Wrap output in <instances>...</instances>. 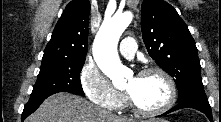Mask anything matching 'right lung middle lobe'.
Masks as SVG:
<instances>
[{"label":"right lung middle lobe","mask_w":221,"mask_h":122,"mask_svg":"<svg viewBox=\"0 0 221 122\" xmlns=\"http://www.w3.org/2000/svg\"><path fill=\"white\" fill-rule=\"evenodd\" d=\"M85 59H57L42 61L37 81L30 98L56 92L84 95L79 74Z\"/></svg>","instance_id":"right-lung-middle-lobe-1"}]
</instances>
